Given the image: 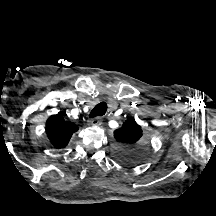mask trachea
<instances>
[{"label":"trachea","mask_w":216,"mask_h":216,"mask_svg":"<svg viewBox=\"0 0 216 216\" xmlns=\"http://www.w3.org/2000/svg\"><path fill=\"white\" fill-rule=\"evenodd\" d=\"M107 111V104L105 102L98 103L90 112L89 118H95L98 116H102Z\"/></svg>","instance_id":"3493384b"}]
</instances>
